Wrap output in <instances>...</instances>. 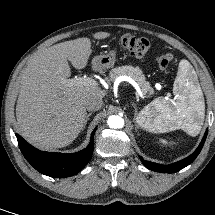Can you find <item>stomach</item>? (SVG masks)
I'll use <instances>...</instances> for the list:
<instances>
[{
  "label": "stomach",
  "instance_id": "obj_1",
  "mask_svg": "<svg viewBox=\"0 0 215 215\" xmlns=\"http://www.w3.org/2000/svg\"><path fill=\"white\" fill-rule=\"evenodd\" d=\"M115 61H116V51L111 50L104 55H98L94 57L92 63L95 69L104 70V69L112 68L115 64ZM137 123L140 127L146 129L145 123H140L138 121Z\"/></svg>",
  "mask_w": 215,
  "mask_h": 215
}]
</instances>
